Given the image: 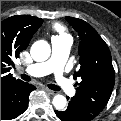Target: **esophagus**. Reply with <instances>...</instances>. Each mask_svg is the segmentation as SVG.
Here are the masks:
<instances>
[{
  "mask_svg": "<svg viewBox=\"0 0 121 121\" xmlns=\"http://www.w3.org/2000/svg\"><path fill=\"white\" fill-rule=\"evenodd\" d=\"M44 90H45L47 93L51 94V95L56 94L55 91L50 90V89H48V88H44Z\"/></svg>",
  "mask_w": 121,
  "mask_h": 121,
  "instance_id": "esophagus-1",
  "label": "esophagus"
}]
</instances>
